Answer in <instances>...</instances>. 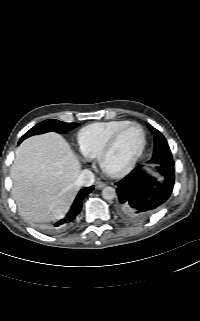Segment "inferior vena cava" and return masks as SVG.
I'll list each match as a JSON object with an SVG mask.
<instances>
[{
    "label": "inferior vena cava",
    "mask_w": 200,
    "mask_h": 321,
    "mask_svg": "<svg viewBox=\"0 0 200 321\" xmlns=\"http://www.w3.org/2000/svg\"><path fill=\"white\" fill-rule=\"evenodd\" d=\"M93 183H94V174L88 169L82 170L75 181V184L77 186H85V187H89L93 185Z\"/></svg>",
    "instance_id": "inferior-vena-cava-1"
}]
</instances>
